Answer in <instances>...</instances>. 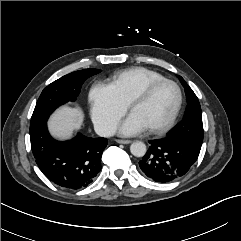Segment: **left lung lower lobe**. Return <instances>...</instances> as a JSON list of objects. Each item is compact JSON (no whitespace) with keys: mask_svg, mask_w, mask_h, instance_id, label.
<instances>
[{"mask_svg":"<svg viewBox=\"0 0 241 241\" xmlns=\"http://www.w3.org/2000/svg\"><path fill=\"white\" fill-rule=\"evenodd\" d=\"M149 143L150 147L139 161V166L148 178L160 183L185 175L199 155L175 138L165 137Z\"/></svg>","mask_w":241,"mask_h":241,"instance_id":"0a47b994","label":"left lung lower lobe"}]
</instances>
